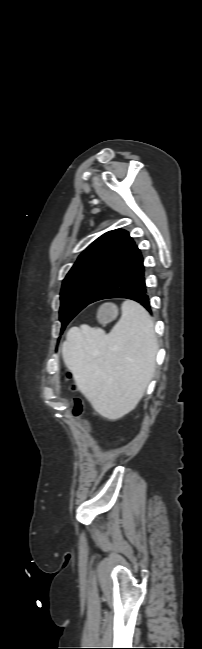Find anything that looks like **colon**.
Returning a JSON list of instances; mask_svg holds the SVG:
<instances>
[{
	"mask_svg": "<svg viewBox=\"0 0 202 649\" xmlns=\"http://www.w3.org/2000/svg\"><path fill=\"white\" fill-rule=\"evenodd\" d=\"M72 373L67 372L66 378L68 380H72ZM70 390L73 392L77 391V387L74 384H71ZM71 414L74 416V418L77 420L78 425L80 429L84 432H88L90 430V425L89 422L82 417L83 415V403L81 399L77 396H74L72 399V406H71Z\"/></svg>",
	"mask_w": 202,
	"mask_h": 649,
	"instance_id": "obj_1",
	"label": "colon"
}]
</instances>
